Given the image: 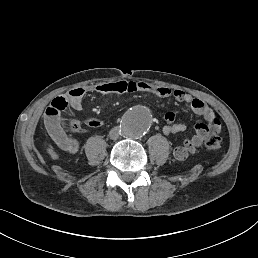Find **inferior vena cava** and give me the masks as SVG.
I'll list each match as a JSON object with an SVG mask.
<instances>
[{"instance_id":"1","label":"inferior vena cava","mask_w":258,"mask_h":258,"mask_svg":"<svg viewBox=\"0 0 258 258\" xmlns=\"http://www.w3.org/2000/svg\"><path fill=\"white\" fill-rule=\"evenodd\" d=\"M119 134H120V128L118 126H116L110 130L109 137L114 140L119 137Z\"/></svg>"}]
</instances>
